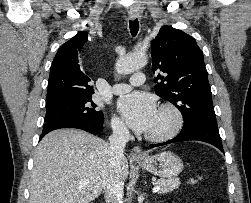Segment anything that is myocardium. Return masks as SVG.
<instances>
[{"mask_svg":"<svg viewBox=\"0 0 251 203\" xmlns=\"http://www.w3.org/2000/svg\"><path fill=\"white\" fill-rule=\"evenodd\" d=\"M158 111L168 113L171 116L172 122L167 130L159 133H148L146 135V138L153 142H163L172 139L180 132L184 122L180 109L171 103L162 104Z\"/></svg>","mask_w":251,"mask_h":203,"instance_id":"obj_1","label":"myocardium"}]
</instances>
